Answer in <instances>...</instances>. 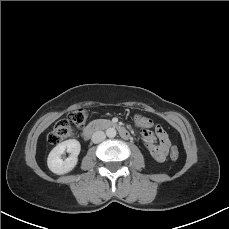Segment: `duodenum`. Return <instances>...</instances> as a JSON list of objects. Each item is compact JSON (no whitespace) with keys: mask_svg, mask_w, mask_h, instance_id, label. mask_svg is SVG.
<instances>
[{"mask_svg":"<svg viewBox=\"0 0 229 229\" xmlns=\"http://www.w3.org/2000/svg\"><path fill=\"white\" fill-rule=\"evenodd\" d=\"M102 128H113V129H117L120 133V135L124 138V139H129L130 138V134L129 132L126 130L125 127L119 125L118 123L115 122H92L90 123L84 130V137L85 138H89L91 137L94 133H96L97 131H99Z\"/></svg>","mask_w":229,"mask_h":229,"instance_id":"duodenum-1","label":"duodenum"}]
</instances>
